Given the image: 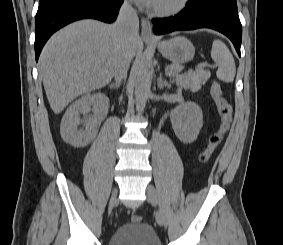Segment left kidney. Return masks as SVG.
I'll use <instances>...</instances> for the list:
<instances>
[{
	"label": "left kidney",
	"instance_id": "5707ae66",
	"mask_svg": "<svg viewBox=\"0 0 283 245\" xmlns=\"http://www.w3.org/2000/svg\"><path fill=\"white\" fill-rule=\"evenodd\" d=\"M170 120L176 136L185 144L194 142L203 126L202 110L193 102L182 103L174 108Z\"/></svg>",
	"mask_w": 283,
	"mask_h": 245
}]
</instances>
